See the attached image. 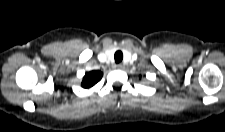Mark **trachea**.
Here are the masks:
<instances>
[{"instance_id": "1", "label": "trachea", "mask_w": 225, "mask_h": 132, "mask_svg": "<svg viewBox=\"0 0 225 132\" xmlns=\"http://www.w3.org/2000/svg\"><path fill=\"white\" fill-rule=\"evenodd\" d=\"M114 59L116 63H120L123 60V53L121 51H116L114 54Z\"/></svg>"}]
</instances>
